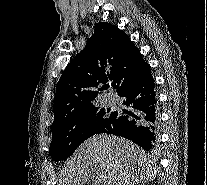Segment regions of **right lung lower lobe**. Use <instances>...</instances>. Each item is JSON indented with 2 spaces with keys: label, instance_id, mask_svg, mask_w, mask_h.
<instances>
[{
  "label": "right lung lower lobe",
  "instance_id": "1",
  "mask_svg": "<svg viewBox=\"0 0 207 185\" xmlns=\"http://www.w3.org/2000/svg\"><path fill=\"white\" fill-rule=\"evenodd\" d=\"M117 92L129 109L116 110L115 121L105 126L100 133L125 137L150 151L155 146L158 128L153 77L149 72L137 80L122 84Z\"/></svg>",
  "mask_w": 207,
  "mask_h": 185
}]
</instances>
